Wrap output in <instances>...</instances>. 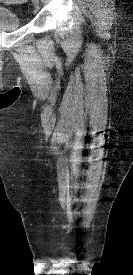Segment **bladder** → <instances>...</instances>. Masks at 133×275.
I'll return each instance as SVG.
<instances>
[{"mask_svg": "<svg viewBox=\"0 0 133 275\" xmlns=\"http://www.w3.org/2000/svg\"><path fill=\"white\" fill-rule=\"evenodd\" d=\"M23 26V21L18 12L0 6V31H12Z\"/></svg>", "mask_w": 133, "mask_h": 275, "instance_id": "bladder-1", "label": "bladder"}]
</instances>
